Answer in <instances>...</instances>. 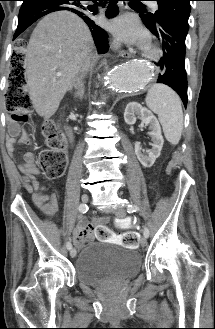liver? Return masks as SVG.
Masks as SVG:
<instances>
[{
    "label": "liver",
    "instance_id": "6515ba94",
    "mask_svg": "<svg viewBox=\"0 0 215 329\" xmlns=\"http://www.w3.org/2000/svg\"><path fill=\"white\" fill-rule=\"evenodd\" d=\"M93 50L88 26L74 13L54 12L37 24L27 46L24 68L29 97L39 116L47 119L57 111Z\"/></svg>",
    "mask_w": 215,
    "mask_h": 329
}]
</instances>
